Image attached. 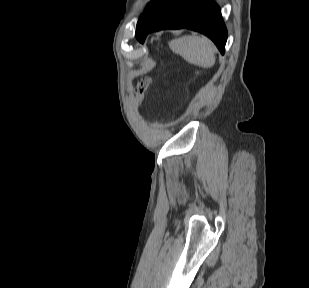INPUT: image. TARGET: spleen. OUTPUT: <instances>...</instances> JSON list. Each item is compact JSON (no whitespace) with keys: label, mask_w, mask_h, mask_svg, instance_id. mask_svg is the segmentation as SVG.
Returning a JSON list of instances; mask_svg holds the SVG:
<instances>
[{"label":"spleen","mask_w":309,"mask_h":288,"mask_svg":"<svg viewBox=\"0 0 309 288\" xmlns=\"http://www.w3.org/2000/svg\"><path fill=\"white\" fill-rule=\"evenodd\" d=\"M170 47L174 53L195 66L210 68L215 64V46L206 37L183 36L172 41Z\"/></svg>","instance_id":"3e777b00"}]
</instances>
